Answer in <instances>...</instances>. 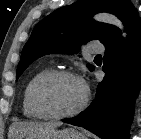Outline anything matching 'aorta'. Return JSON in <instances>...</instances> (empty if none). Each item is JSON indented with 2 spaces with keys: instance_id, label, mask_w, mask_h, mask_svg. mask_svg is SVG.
Here are the masks:
<instances>
[{
  "instance_id": "aorta-1",
  "label": "aorta",
  "mask_w": 141,
  "mask_h": 139,
  "mask_svg": "<svg viewBox=\"0 0 141 139\" xmlns=\"http://www.w3.org/2000/svg\"><path fill=\"white\" fill-rule=\"evenodd\" d=\"M94 19L97 21H102L111 25L118 27L122 31V37L126 38V32H124V25L122 22L113 14L109 13H100L94 16Z\"/></svg>"
}]
</instances>
